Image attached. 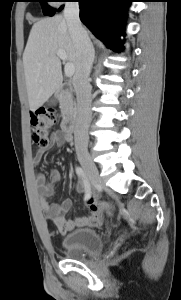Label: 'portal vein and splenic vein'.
I'll return each mask as SVG.
<instances>
[{"instance_id": "18ae733b", "label": "portal vein and splenic vein", "mask_w": 181, "mask_h": 300, "mask_svg": "<svg viewBox=\"0 0 181 300\" xmlns=\"http://www.w3.org/2000/svg\"><path fill=\"white\" fill-rule=\"evenodd\" d=\"M57 56L62 60V61H66L67 60V55L66 52L63 50H58L57 51ZM64 71H65V75L67 77H72L74 75L75 72V66L71 63H66L65 67H64Z\"/></svg>"}]
</instances>
